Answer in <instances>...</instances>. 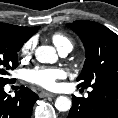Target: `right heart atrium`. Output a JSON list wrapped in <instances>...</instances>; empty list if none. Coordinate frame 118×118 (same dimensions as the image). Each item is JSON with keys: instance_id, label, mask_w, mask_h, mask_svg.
I'll use <instances>...</instances> for the list:
<instances>
[{"instance_id": "obj_1", "label": "right heart atrium", "mask_w": 118, "mask_h": 118, "mask_svg": "<svg viewBox=\"0 0 118 118\" xmlns=\"http://www.w3.org/2000/svg\"><path fill=\"white\" fill-rule=\"evenodd\" d=\"M37 44V39L35 37H31L26 40L22 46L20 47L19 53L23 59H28L34 53L35 47Z\"/></svg>"}]
</instances>
